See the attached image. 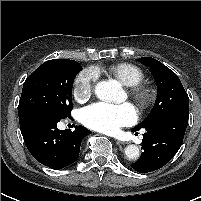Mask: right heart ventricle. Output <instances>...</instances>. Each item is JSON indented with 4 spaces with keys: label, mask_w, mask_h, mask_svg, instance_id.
<instances>
[{
    "label": "right heart ventricle",
    "mask_w": 201,
    "mask_h": 201,
    "mask_svg": "<svg viewBox=\"0 0 201 201\" xmlns=\"http://www.w3.org/2000/svg\"><path fill=\"white\" fill-rule=\"evenodd\" d=\"M99 71L100 69H96ZM107 71L126 86H134L144 79L143 71L131 63H117L107 68Z\"/></svg>",
    "instance_id": "e07e8e85"
}]
</instances>
